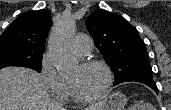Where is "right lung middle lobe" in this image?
<instances>
[{
	"label": "right lung middle lobe",
	"instance_id": "obj_1",
	"mask_svg": "<svg viewBox=\"0 0 171 110\" xmlns=\"http://www.w3.org/2000/svg\"><path fill=\"white\" fill-rule=\"evenodd\" d=\"M43 52L11 43L0 44V69L8 66H23L38 72L42 68Z\"/></svg>",
	"mask_w": 171,
	"mask_h": 110
}]
</instances>
